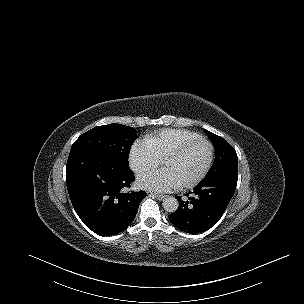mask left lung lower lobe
Instances as JSON below:
<instances>
[{"instance_id":"1","label":"left lung lower lobe","mask_w":304,"mask_h":304,"mask_svg":"<svg viewBox=\"0 0 304 304\" xmlns=\"http://www.w3.org/2000/svg\"><path fill=\"white\" fill-rule=\"evenodd\" d=\"M238 171L233 170L201 181L195 188V197L185 194L188 198L181 200L179 209L169 215L175 226L190 233L211 228L221 217L230 202L237 185Z\"/></svg>"}]
</instances>
